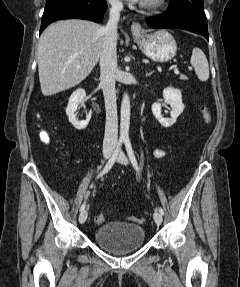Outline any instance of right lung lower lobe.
I'll return each mask as SVG.
<instances>
[{
	"mask_svg": "<svg viewBox=\"0 0 240 287\" xmlns=\"http://www.w3.org/2000/svg\"><path fill=\"white\" fill-rule=\"evenodd\" d=\"M106 0H46L40 33L52 22L61 19H86L101 22Z\"/></svg>",
	"mask_w": 240,
	"mask_h": 287,
	"instance_id": "1",
	"label": "right lung lower lobe"
}]
</instances>
